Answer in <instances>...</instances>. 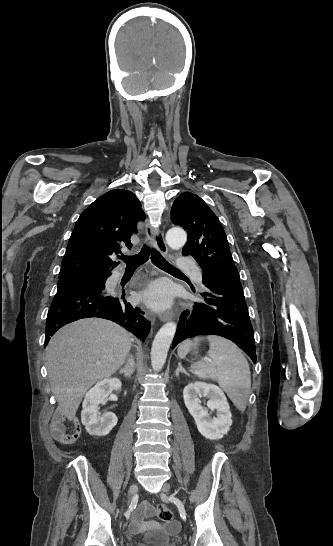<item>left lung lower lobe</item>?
<instances>
[{"instance_id": "obj_1", "label": "left lung lower lobe", "mask_w": 333, "mask_h": 546, "mask_svg": "<svg viewBox=\"0 0 333 546\" xmlns=\"http://www.w3.org/2000/svg\"><path fill=\"white\" fill-rule=\"evenodd\" d=\"M206 291L203 302L185 310L177 326L172 348L198 335H219L230 339L256 363L253 327L240 282H216L202 275Z\"/></svg>"}]
</instances>
